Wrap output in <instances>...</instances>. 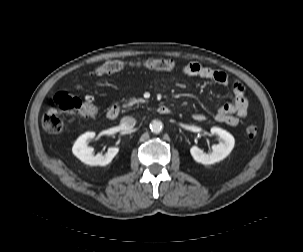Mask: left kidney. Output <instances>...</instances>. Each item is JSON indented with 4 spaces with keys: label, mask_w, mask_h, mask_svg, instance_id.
Returning <instances> with one entry per match:
<instances>
[{
    "label": "left kidney",
    "mask_w": 303,
    "mask_h": 252,
    "mask_svg": "<svg viewBox=\"0 0 303 252\" xmlns=\"http://www.w3.org/2000/svg\"><path fill=\"white\" fill-rule=\"evenodd\" d=\"M210 131L211 134L217 135L222 140L219 144L212 147V153L206 154L197 146H192L190 149L193 159L204 165L214 164L226 158L235 144L234 137L226 130L219 127H212Z\"/></svg>",
    "instance_id": "5707ae66"
}]
</instances>
